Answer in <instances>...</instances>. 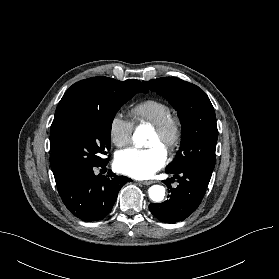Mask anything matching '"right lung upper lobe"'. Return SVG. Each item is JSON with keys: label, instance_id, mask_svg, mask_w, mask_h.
<instances>
[{"label": "right lung upper lobe", "instance_id": "1", "mask_svg": "<svg viewBox=\"0 0 279 279\" xmlns=\"http://www.w3.org/2000/svg\"><path fill=\"white\" fill-rule=\"evenodd\" d=\"M109 87H130L138 90L139 92H148L145 86L138 80H126L118 81L112 78L100 76L92 77L89 79L81 80L73 84L63 95L60 100L54 120L51 126L50 132V146H51V156L50 165L55 177L56 184L65 178L63 175L62 166L58 157L56 156L53 143V133L54 129L62 119V117L68 112L70 108L79 103H92L100 104L104 98V91Z\"/></svg>", "mask_w": 279, "mask_h": 279}]
</instances>
